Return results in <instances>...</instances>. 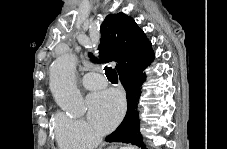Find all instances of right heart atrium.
Listing matches in <instances>:
<instances>
[{
	"label": "right heart atrium",
	"instance_id": "obj_1",
	"mask_svg": "<svg viewBox=\"0 0 227 149\" xmlns=\"http://www.w3.org/2000/svg\"><path fill=\"white\" fill-rule=\"evenodd\" d=\"M55 134L59 145L86 148L98 143L99 136L83 118H74L63 112L55 117Z\"/></svg>",
	"mask_w": 227,
	"mask_h": 149
}]
</instances>
